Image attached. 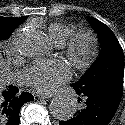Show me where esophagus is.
<instances>
[{
  "instance_id": "34e87169",
  "label": "esophagus",
  "mask_w": 125,
  "mask_h": 125,
  "mask_svg": "<svg viewBox=\"0 0 125 125\" xmlns=\"http://www.w3.org/2000/svg\"><path fill=\"white\" fill-rule=\"evenodd\" d=\"M40 99H49L53 97V95H46V94H38L37 95Z\"/></svg>"
}]
</instances>
